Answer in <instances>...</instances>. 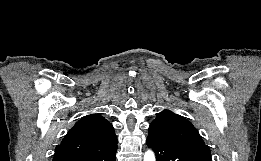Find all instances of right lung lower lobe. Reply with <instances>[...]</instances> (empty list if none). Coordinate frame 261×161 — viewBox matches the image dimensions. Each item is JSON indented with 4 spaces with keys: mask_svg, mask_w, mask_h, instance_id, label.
<instances>
[{
    "mask_svg": "<svg viewBox=\"0 0 261 161\" xmlns=\"http://www.w3.org/2000/svg\"><path fill=\"white\" fill-rule=\"evenodd\" d=\"M116 151H117V143L103 151L79 155V156L68 158L63 161H115Z\"/></svg>",
    "mask_w": 261,
    "mask_h": 161,
    "instance_id": "obj_1",
    "label": "right lung lower lobe"
}]
</instances>
